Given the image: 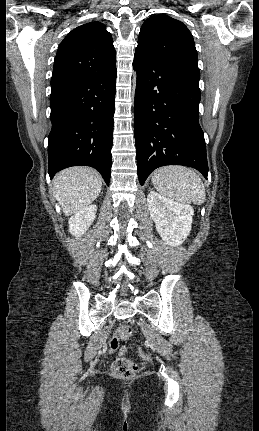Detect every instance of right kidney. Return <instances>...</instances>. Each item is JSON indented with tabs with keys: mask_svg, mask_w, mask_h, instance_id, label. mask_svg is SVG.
Masks as SVG:
<instances>
[{
	"mask_svg": "<svg viewBox=\"0 0 259 431\" xmlns=\"http://www.w3.org/2000/svg\"><path fill=\"white\" fill-rule=\"evenodd\" d=\"M96 205H89L78 210L69 219V231L72 235L79 237L84 234L95 219Z\"/></svg>",
	"mask_w": 259,
	"mask_h": 431,
	"instance_id": "1",
	"label": "right kidney"
}]
</instances>
